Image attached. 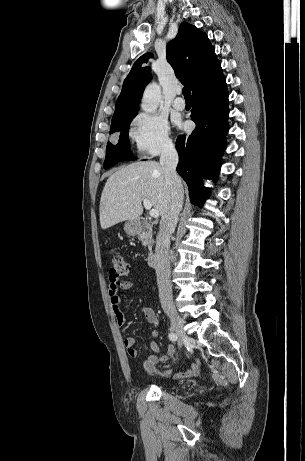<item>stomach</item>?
Masks as SVG:
<instances>
[{"instance_id": "obj_1", "label": "stomach", "mask_w": 305, "mask_h": 461, "mask_svg": "<svg viewBox=\"0 0 305 461\" xmlns=\"http://www.w3.org/2000/svg\"><path fill=\"white\" fill-rule=\"evenodd\" d=\"M124 230L129 236H135L139 233V228L134 221H128L124 225Z\"/></svg>"}]
</instances>
